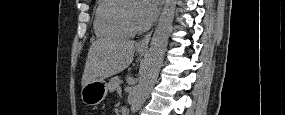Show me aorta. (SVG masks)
Instances as JSON below:
<instances>
[{"label": "aorta", "instance_id": "762f6f07", "mask_svg": "<svg viewBox=\"0 0 285 115\" xmlns=\"http://www.w3.org/2000/svg\"><path fill=\"white\" fill-rule=\"evenodd\" d=\"M175 10L176 0H165L163 11L151 40L147 62L141 73L139 83L132 93V113H136L141 109L157 80L167 47L168 38L172 31Z\"/></svg>", "mask_w": 285, "mask_h": 115}]
</instances>
